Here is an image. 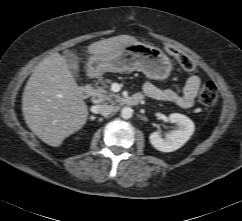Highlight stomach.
<instances>
[{
  "label": "stomach",
  "instance_id": "0dacf381",
  "mask_svg": "<svg viewBox=\"0 0 242 221\" xmlns=\"http://www.w3.org/2000/svg\"><path fill=\"white\" fill-rule=\"evenodd\" d=\"M138 70L148 78L166 79L172 70L169 57L159 48L139 41H132L119 53L93 55L88 59L87 72L99 77L105 72H125Z\"/></svg>",
  "mask_w": 242,
  "mask_h": 221
}]
</instances>
